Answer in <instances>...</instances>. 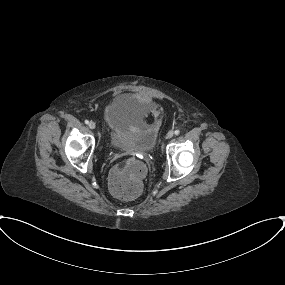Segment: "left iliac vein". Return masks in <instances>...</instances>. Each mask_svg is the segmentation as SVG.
I'll list each match as a JSON object with an SVG mask.
<instances>
[{"mask_svg":"<svg viewBox=\"0 0 285 285\" xmlns=\"http://www.w3.org/2000/svg\"><path fill=\"white\" fill-rule=\"evenodd\" d=\"M173 135H174V132L172 130H170L167 134V138L170 139L173 137Z\"/></svg>","mask_w":285,"mask_h":285,"instance_id":"4c4485c4","label":"left iliac vein"}]
</instances>
